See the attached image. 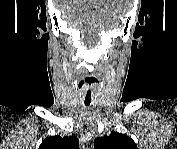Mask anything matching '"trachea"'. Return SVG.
I'll list each match as a JSON object with an SVG mask.
<instances>
[{
	"instance_id": "1",
	"label": "trachea",
	"mask_w": 177,
	"mask_h": 149,
	"mask_svg": "<svg viewBox=\"0 0 177 149\" xmlns=\"http://www.w3.org/2000/svg\"><path fill=\"white\" fill-rule=\"evenodd\" d=\"M86 98L91 100V92L90 91L85 95V102H84L85 106L89 107L90 106V101L86 102Z\"/></svg>"
}]
</instances>
